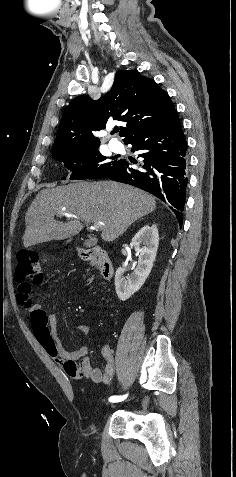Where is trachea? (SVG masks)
<instances>
[{"mask_svg":"<svg viewBox=\"0 0 236 477\" xmlns=\"http://www.w3.org/2000/svg\"><path fill=\"white\" fill-rule=\"evenodd\" d=\"M118 131H119V128L115 127L114 130L112 131V133H117Z\"/></svg>","mask_w":236,"mask_h":477,"instance_id":"obj_1","label":"trachea"}]
</instances>
